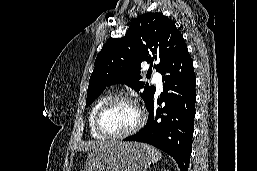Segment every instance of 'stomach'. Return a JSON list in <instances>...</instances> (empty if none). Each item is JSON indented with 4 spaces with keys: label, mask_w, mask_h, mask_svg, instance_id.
Returning <instances> with one entry per match:
<instances>
[{
    "label": "stomach",
    "mask_w": 257,
    "mask_h": 171,
    "mask_svg": "<svg viewBox=\"0 0 257 171\" xmlns=\"http://www.w3.org/2000/svg\"><path fill=\"white\" fill-rule=\"evenodd\" d=\"M150 154L145 145L134 142H112L88 157L84 171H146Z\"/></svg>",
    "instance_id": "obj_1"
}]
</instances>
